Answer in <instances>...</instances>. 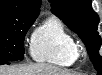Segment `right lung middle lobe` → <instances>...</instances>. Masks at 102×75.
Listing matches in <instances>:
<instances>
[{
	"mask_svg": "<svg viewBox=\"0 0 102 75\" xmlns=\"http://www.w3.org/2000/svg\"><path fill=\"white\" fill-rule=\"evenodd\" d=\"M37 16L0 12V63L23 60L24 37Z\"/></svg>",
	"mask_w": 102,
	"mask_h": 75,
	"instance_id": "obj_1",
	"label": "right lung middle lobe"
}]
</instances>
